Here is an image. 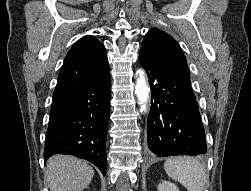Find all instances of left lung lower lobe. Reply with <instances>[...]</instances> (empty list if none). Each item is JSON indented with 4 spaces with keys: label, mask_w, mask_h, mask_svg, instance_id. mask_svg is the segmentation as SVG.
<instances>
[{
    "label": "left lung lower lobe",
    "mask_w": 251,
    "mask_h": 191,
    "mask_svg": "<svg viewBox=\"0 0 251 191\" xmlns=\"http://www.w3.org/2000/svg\"><path fill=\"white\" fill-rule=\"evenodd\" d=\"M151 87L147 123L149 150L159 157L207 152L204 127L190 77L171 72L140 54Z\"/></svg>",
    "instance_id": "left-lung-lower-lobe-1"
}]
</instances>
